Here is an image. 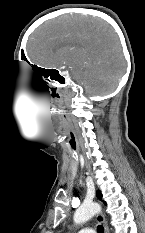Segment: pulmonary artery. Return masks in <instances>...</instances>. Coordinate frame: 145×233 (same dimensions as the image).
I'll return each mask as SVG.
<instances>
[{
	"label": "pulmonary artery",
	"instance_id": "1",
	"mask_svg": "<svg viewBox=\"0 0 145 233\" xmlns=\"http://www.w3.org/2000/svg\"><path fill=\"white\" fill-rule=\"evenodd\" d=\"M78 233H95L92 229H81Z\"/></svg>",
	"mask_w": 145,
	"mask_h": 233
}]
</instances>
